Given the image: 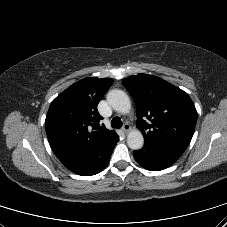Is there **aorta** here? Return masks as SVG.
Returning a JSON list of instances; mask_svg holds the SVG:
<instances>
[{"label": "aorta", "instance_id": "obj_1", "mask_svg": "<svg viewBox=\"0 0 227 227\" xmlns=\"http://www.w3.org/2000/svg\"><path fill=\"white\" fill-rule=\"evenodd\" d=\"M107 101L109 105L118 113L127 114L131 109V102L128 95L119 89L108 92ZM127 144L133 150H139L143 147L144 138L139 130H132L127 136Z\"/></svg>", "mask_w": 227, "mask_h": 227}]
</instances>
